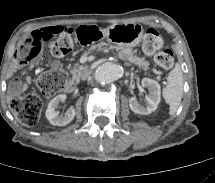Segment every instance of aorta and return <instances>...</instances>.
Returning <instances> with one entry per match:
<instances>
[{"label": "aorta", "mask_w": 215, "mask_h": 183, "mask_svg": "<svg viewBox=\"0 0 215 183\" xmlns=\"http://www.w3.org/2000/svg\"><path fill=\"white\" fill-rule=\"evenodd\" d=\"M123 75V68L113 62L101 64L95 71V79L101 84H109Z\"/></svg>", "instance_id": "aorta-1"}]
</instances>
